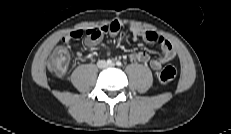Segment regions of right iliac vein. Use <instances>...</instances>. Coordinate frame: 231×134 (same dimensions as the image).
Instances as JSON below:
<instances>
[{
  "instance_id": "1",
  "label": "right iliac vein",
  "mask_w": 231,
  "mask_h": 134,
  "mask_svg": "<svg viewBox=\"0 0 231 134\" xmlns=\"http://www.w3.org/2000/svg\"><path fill=\"white\" fill-rule=\"evenodd\" d=\"M98 66H99L100 68H104V67H106V63H105L104 61H100V62L98 63Z\"/></svg>"
}]
</instances>
